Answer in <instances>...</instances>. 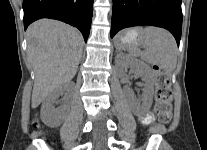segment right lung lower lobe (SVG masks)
I'll return each mask as SVG.
<instances>
[{
  "label": "right lung lower lobe",
  "instance_id": "right-lung-lower-lobe-1",
  "mask_svg": "<svg viewBox=\"0 0 207 150\" xmlns=\"http://www.w3.org/2000/svg\"><path fill=\"white\" fill-rule=\"evenodd\" d=\"M24 28L40 18H51L77 27L87 41L93 0H23Z\"/></svg>",
  "mask_w": 207,
  "mask_h": 150
}]
</instances>
